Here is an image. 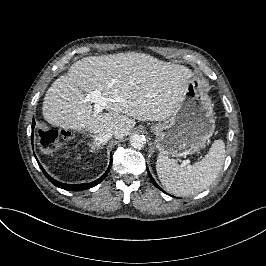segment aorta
<instances>
[{"instance_id": "obj_1", "label": "aorta", "mask_w": 266, "mask_h": 266, "mask_svg": "<svg viewBox=\"0 0 266 266\" xmlns=\"http://www.w3.org/2000/svg\"><path fill=\"white\" fill-rule=\"evenodd\" d=\"M131 147L141 149L145 146V136L140 134H133L129 140Z\"/></svg>"}]
</instances>
